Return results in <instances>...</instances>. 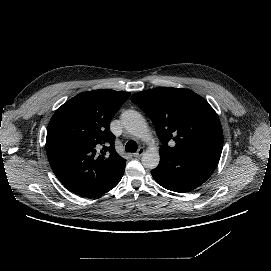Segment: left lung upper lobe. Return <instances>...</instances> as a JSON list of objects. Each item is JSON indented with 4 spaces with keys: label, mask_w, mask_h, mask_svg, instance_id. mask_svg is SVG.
Instances as JSON below:
<instances>
[{
    "label": "left lung upper lobe",
    "mask_w": 271,
    "mask_h": 271,
    "mask_svg": "<svg viewBox=\"0 0 271 271\" xmlns=\"http://www.w3.org/2000/svg\"><path fill=\"white\" fill-rule=\"evenodd\" d=\"M152 120L161 148L220 159L223 132L209 103L188 89L158 87L132 95ZM175 142L170 147L168 143Z\"/></svg>",
    "instance_id": "obj_1"
}]
</instances>
